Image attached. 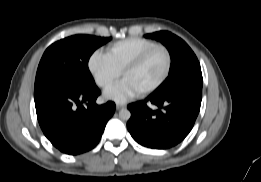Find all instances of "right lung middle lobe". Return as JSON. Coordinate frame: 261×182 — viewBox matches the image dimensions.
Segmentation results:
<instances>
[{
    "mask_svg": "<svg viewBox=\"0 0 261 182\" xmlns=\"http://www.w3.org/2000/svg\"><path fill=\"white\" fill-rule=\"evenodd\" d=\"M111 37L74 35L53 43L44 52L39 63L35 88L52 82H63L80 92L95 89L94 79L88 69L92 53Z\"/></svg>",
    "mask_w": 261,
    "mask_h": 182,
    "instance_id": "1",
    "label": "right lung middle lobe"
}]
</instances>
